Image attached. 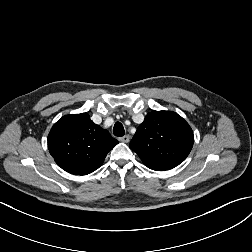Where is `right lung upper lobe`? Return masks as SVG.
Masks as SVG:
<instances>
[{"mask_svg":"<svg viewBox=\"0 0 252 252\" xmlns=\"http://www.w3.org/2000/svg\"><path fill=\"white\" fill-rule=\"evenodd\" d=\"M118 143L87 113L63 116L48 135L49 152L63 170L87 175L98 169Z\"/></svg>","mask_w":252,"mask_h":252,"instance_id":"obj_1","label":"right lung upper lobe"}]
</instances>
